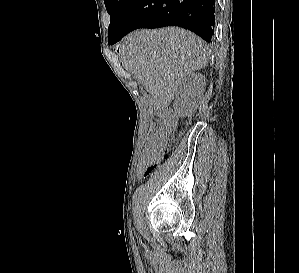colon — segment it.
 Returning a JSON list of instances; mask_svg holds the SVG:
<instances>
[{"label": "colon", "instance_id": "colon-1", "mask_svg": "<svg viewBox=\"0 0 299 273\" xmlns=\"http://www.w3.org/2000/svg\"><path fill=\"white\" fill-rule=\"evenodd\" d=\"M176 129V121L169 118L159 125L151 134L142 153L139 169L147 176L155 170L160 162L167 159L171 150L172 137Z\"/></svg>", "mask_w": 299, "mask_h": 273}]
</instances>
